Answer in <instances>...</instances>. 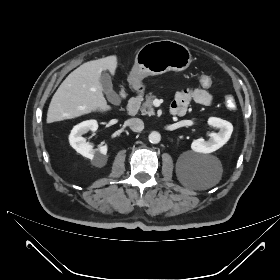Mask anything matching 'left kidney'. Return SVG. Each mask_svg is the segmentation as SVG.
<instances>
[{"mask_svg":"<svg viewBox=\"0 0 280 280\" xmlns=\"http://www.w3.org/2000/svg\"><path fill=\"white\" fill-rule=\"evenodd\" d=\"M208 125L219 129L218 133H210L209 140L203 138L196 139L191 144V149L197 153H212L221 148L230 139L233 132V125L221 118L210 117Z\"/></svg>","mask_w":280,"mask_h":280,"instance_id":"1","label":"left kidney"}]
</instances>
